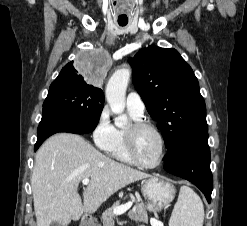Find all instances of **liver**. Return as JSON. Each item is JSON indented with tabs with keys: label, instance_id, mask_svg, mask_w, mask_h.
Returning a JSON list of instances; mask_svg holds the SVG:
<instances>
[{
	"label": "liver",
	"instance_id": "1",
	"mask_svg": "<svg viewBox=\"0 0 247 226\" xmlns=\"http://www.w3.org/2000/svg\"><path fill=\"white\" fill-rule=\"evenodd\" d=\"M150 177L103 155L79 135L56 134L35 155L31 186L37 226H67L83 212L94 213L122 187ZM89 178L82 202L78 186Z\"/></svg>",
	"mask_w": 247,
	"mask_h": 226
}]
</instances>
